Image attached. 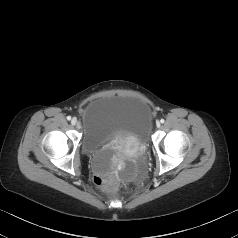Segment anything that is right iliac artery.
<instances>
[{"mask_svg": "<svg viewBox=\"0 0 238 238\" xmlns=\"http://www.w3.org/2000/svg\"><path fill=\"white\" fill-rule=\"evenodd\" d=\"M67 120H71V116H67Z\"/></svg>", "mask_w": 238, "mask_h": 238, "instance_id": "1", "label": "right iliac artery"}]
</instances>
